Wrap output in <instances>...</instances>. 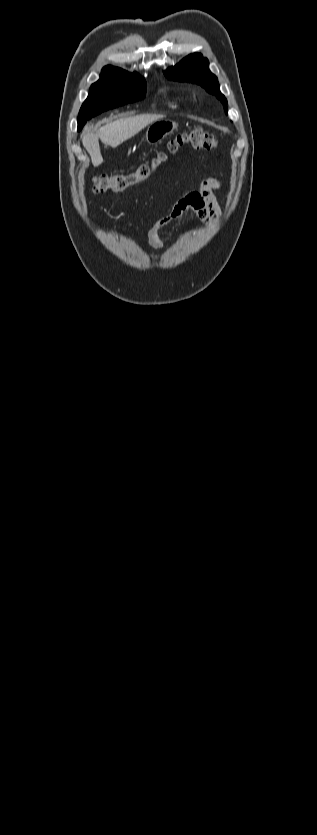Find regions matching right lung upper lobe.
Wrapping results in <instances>:
<instances>
[{
	"label": "right lung upper lobe",
	"instance_id": "1",
	"mask_svg": "<svg viewBox=\"0 0 317 835\" xmlns=\"http://www.w3.org/2000/svg\"><path fill=\"white\" fill-rule=\"evenodd\" d=\"M117 70H122V69H121V68H118V67L110 66V65L105 66V67L102 69V74H101L100 76H102V75H104V74L111 73V72H113V71H117Z\"/></svg>",
	"mask_w": 317,
	"mask_h": 835
}]
</instances>
